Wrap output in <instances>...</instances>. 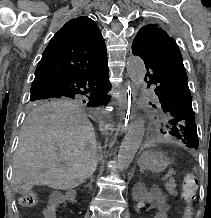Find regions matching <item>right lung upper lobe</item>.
Here are the masks:
<instances>
[{
	"instance_id": "cb5924a9",
	"label": "right lung upper lobe",
	"mask_w": 211,
	"mask_h": 218,
	"mask_svg": "<svg viewBox=\"0 0 211 218\" xmlns=\"http://www.w3.org/2000/svg\"><path fill=\"white\" fill-rule=\"evenodd\" d=\"M105 60L106 46L96 23L86 16L71 19L56 32L44 50L35 71L31 97L46 86L79 75ZM42 98L46 97L33 99Z\"/></svg>"
}]
</instances>
